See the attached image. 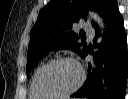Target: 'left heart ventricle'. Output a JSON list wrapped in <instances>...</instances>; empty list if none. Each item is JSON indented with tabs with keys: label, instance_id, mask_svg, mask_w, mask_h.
<instances>
[{
	"label": "left heart ventricle",
	"instance_id": "obj_1",
	"mask_svg": "<svg viewBox=\"0 0 128 99\" xmlns=\"http://www.w3.org/2000/svg\"><path fill=\"white\" fill-rule=\"evenodd\" d=\"M78 67L70 62L51 65L38 78V87L49 94L62 93L74 87L79 81Z\"/></svg>",
	"mask_w": 128,
	"mask_h": 99
}]
</instances>
